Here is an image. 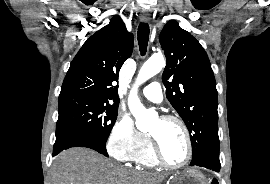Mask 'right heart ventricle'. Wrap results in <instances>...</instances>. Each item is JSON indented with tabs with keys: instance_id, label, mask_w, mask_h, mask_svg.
Listing matches in <instances>:
<instances>
[{
	"instance_id": "obj_1",
	"label": "right heart ventricle",
	"mask_w": 270,
	"mask_h": 184,
	"mask_svg": "<svg viewBox=\"0 0 270 184\" xmlns=\"http://www.w3.org/2000/svg\"><path fill=\"white\" fill-rule=\"evenodd\" d=\"M139 166L144 167H155L158 165V162L156 161L152 147L151 142L147 141V143L142 147V149L136 154V156L132 160Z\"/></svg>"
}]
</instances>
